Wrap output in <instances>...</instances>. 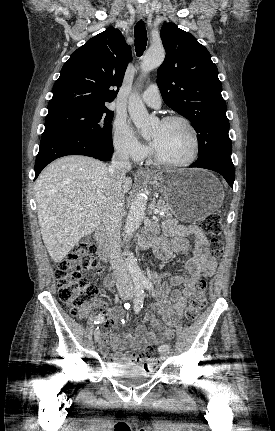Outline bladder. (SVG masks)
Wrapping results in <instances>:
<instances>
[{
  "mask_svg": "<svg viewBox=\"0 0 275 431\" xmlns=\"http://www.w3.org/2000/svg\"><path fill=\"white\" fill-rule=\"evenodd\" d=\"M106 365L110 376L118 382L129 378L148 379L152 376L151 372L136 364L106 361Z\"/></svg>",
  "mask_w": 275,
  "mask_h": 431,
  "instance_id": "31cf9c89",
  "label": "bladder"
}]
</instances>
